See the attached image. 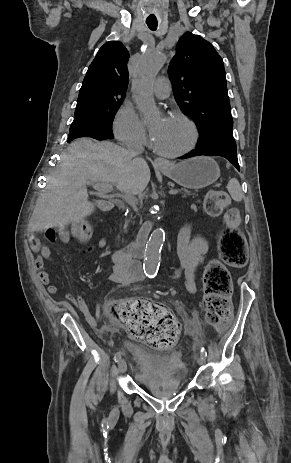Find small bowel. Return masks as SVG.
Segmentation results:
<instances>
[{
	"mask_svg": "<svg viewBox=\"0 0 291 463\" xmlns=\"http://www.w3.org/2000/svg\"><path fill=\"white\" fill-rule=\"evenodd\" d=\"M71 237L67 233L60 236L63 243H68ZM95 248L106 249L107 242L104 239H99L91 244L86 251H91ZM32 249L37 253L34 266L38 273L40 282L47 286L50 294H56L58 287L50 284V279L47 271L44 269L45 262H53L52 252L50 248L43 244L39 239H32ZM208 251L207 242L198 237L192 236V231L189 226L183 227L178 237V255L180 258L179 267L173 274L174 278H185L186 288L190 293L196 292L195 274L198 267L202 264ZM113 273L108 277V284L115 287H122L145 279L141 264L129 255L123 248L115 251L112 255ZM68 300L75 305L84 315L86 321L91 326H98L104 315V311L98 310L95 315H92L86 300L81 296H73L68 294Z\"/></svg>",
	"mask_w": 291,
	"mask_h": 463,
	"instance_id": "small-bowel-1",
	"label": "small bowel"
}]
</instances>
